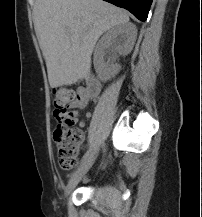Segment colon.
<instances>
[{
    "label": "colon",
    "instance_id": "5ec220e1",
    "mask_svg": "<svg viewBox=\"0 0 202 217\" xmlns=\"http://www.w3.org/2000/svg\"><path fill=\"white\" fill-rule=\"evenodd\" d=\"M80 99V93L72 89L58 88L55 91L54 115L57 124L54 128V141L59 165L64 170H71L77 165V153L84 140L83 130L69 118V109Z\"/></svg>",
    "mask_w": 202,
    "mask_h": 217
}]
</instances>
